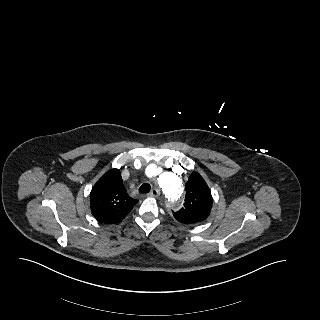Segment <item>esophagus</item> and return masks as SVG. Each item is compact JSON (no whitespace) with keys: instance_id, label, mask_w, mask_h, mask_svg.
<instances>
[{"instance_id":"esophagus-1","label":"esophagus","mask_w":320,"mask_h":320,"mask_svg":"<svg viewBox=\"0 0 320 320\" xmlns=\"http://www.w3.org/2000/svg\"><path fill=\"white\" fill-rule=\"evenodd\" d=\"M148 195L150 197H158L160 195V190L157 188H154L151 190V192Z\"/></svg>"}]
</instances>
